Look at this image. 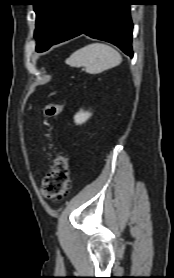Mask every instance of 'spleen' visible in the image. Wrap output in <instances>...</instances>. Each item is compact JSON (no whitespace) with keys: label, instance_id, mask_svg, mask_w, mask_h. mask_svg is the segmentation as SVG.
<instances>
[{"label":"spleen","instance_id":"obj_1","mask_svg":"<svg viewBox=\"0 0 174 278\" xmlns=\"http://www.w3.org/2000/svg\"><path fill=\"white\" fill-rule=\"evenodd\" d=\"M121 61V55L114 48L92 43L75 51L66 63L71 67H84L89 74H98L119 65Z\"/></svg>","mask_w":174,"mask_h":278}]
</instances>
